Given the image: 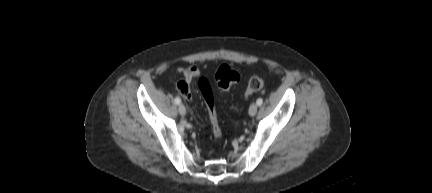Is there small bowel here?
Masks as SVG:
<instances>
[{
    "mask_svg": "<svg viewBox=\"0 0 432 193\" xmlns=\"http://www.w3.org/2000/svg\"><path fill=\"white\" fill-rule=\"evenodd\" d=\"M200 76V71L197 67H189L183 72V80L178 82L179 92L188 100H191L190 83Z\"/></svg>",
    "mask_w": 432,
    "mask_h": 193,
    "instance_id": "obj_1",
    "label": "small bowel"
}]
</instances>
